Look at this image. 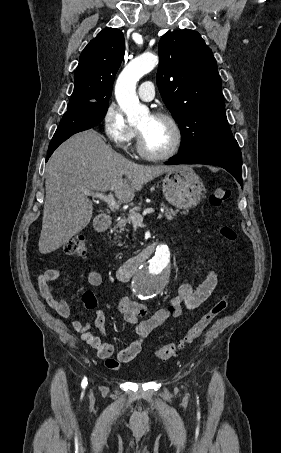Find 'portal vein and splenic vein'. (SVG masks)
I'll return each instance as SVG.
<instances>
[{"mask_svg":"<svg viewBox=\"0 0 281 453\" xmlns=\"http://www.w3.org/2000/svg\"><path fill=\"white\" fill-rule=\"evenodd\" d=\"M84 194H88V196H94V198H100V200H104V202H107L108 206H111V208H115V210H118V208H120V204L116 202L114 194H112V192H109V194H105V192H94V190H84ZM149 212H154V208H145L142 214H139V212H130L129 218H131L132 222H142L143 214H148Z\"/></svg>","mask_w":281,"mask_h":453,"instance_id":"1","label":"portal vein and splenic vein"}]
</instances>
